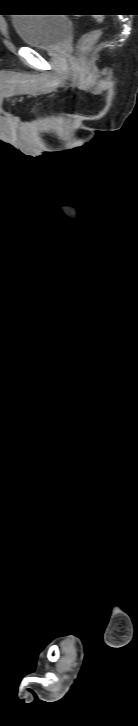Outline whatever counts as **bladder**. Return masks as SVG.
<instances>
[{"label":"bladder","instance_id":"obj_1","mask_svg":"<svg viewBox=\"0 0 138 726\" xmlns=\"http://www.w3.org/2000/svg\"><path fill=\"white\" fill-rule=\"evenodd\" d=\"M43 15L52 17L39 18ZM12 25L24 45L39 49L58 48L72 28L70 18L64 14H21Z\"/></svg>","mask_w":138,"mask_h":726}]
</instances>
